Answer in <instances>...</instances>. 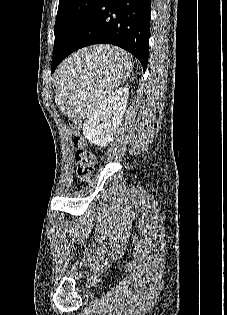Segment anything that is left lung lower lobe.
<instances>
[{
  "instance_id": "left-lung-lower-lobe-1",
  "label": "left lung lower lobe",
  "mask_w": 227,
  "mask_h": 315,
  "mask_svg": "<svg viewBox=\"0 0 227 315\" xmlns=\"http://www.w3.org/2000/svg\"><path fill=\"white\" fill-rule=\"evenodd\" d=\"M151 0H101L63 51L52 58V73L72 52L94 44H113L132 53L147 67Z\"/></svg>"
}]
</instances>
